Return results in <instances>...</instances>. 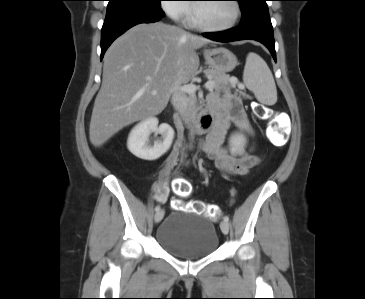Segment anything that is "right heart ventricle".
Masks as SVG:
<instances>
[{"instance_id": "right-heart-ventricle-1", "label": "right heart ventricle", "mask_w": 365, "mask_h": 299, "mask_svg": "<svg viewBox=\"0 0 365 299\" xmlns=\"http://www.w3.org/2000/svg\"><path fill=\"white\" fill-rule=\"evenodd\" d=\"M189 23H191V17L188 18Z\"/></svg>"}]
</instances>
